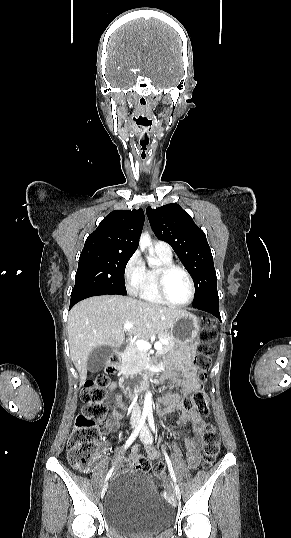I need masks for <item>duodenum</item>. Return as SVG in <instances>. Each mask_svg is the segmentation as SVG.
Here are the masks:
<instances>
[{
  "mask_svg": "<svg viewBox=\"0 0 291 538\" xmlns=\"http://www.w3.org/2000/svg\"><path fill=\"white\" fill-rule=\"evenodd\" d=\"M127 352L128 348L126 347H119L117 349L119 355H125ZM119 377L121 378V381L124 382L123 386L125 387V390L123 391V394L127 397L137 398L141 394L140 390L151 386V383L149 382L151 373L143 372L142 374H135L127 372L126 374L120 373Z\"/></svg>",
  "mask_w": 291,
  "mask_h": 538,
  "instance_id": "1",
  "label": "duodenum"
}]
</instances>
